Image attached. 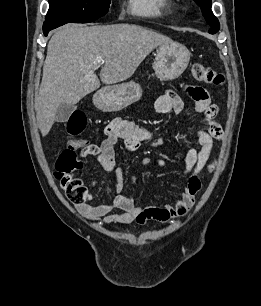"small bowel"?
<instances>
[{
    "label": "small bowel",
    "instance_id": "1",
    "mask_svg": "<svg viewBox=\"0 0 261 306\" xmlns=\"http://www.w3.org/2000/svg\"><path fill=\"white\" fill-rule=\"evenodd\" d=\"M187 92L194 100L195 111L203 115V123L196 128L199 148L190 147L185 156L184 173L188 177L187 185L181 197L173 205H149L138 206L134 200L121 194L124 183V173L115 163V145L122 140L129 152L138 150L144 143L153 141V134L144 128L136 126L133 122L116 119L110 122L106 129V138L99 147L97 160L102 168L107 171H115L116 193L111 203L92 204V194L85 188L84 200L77 204L78 211L85 217L102 221L106 224L121 223L129 224L136 222L145 224L150 220L159 222H168L172 219L181 218L188 214L195 203V196L200 190L199 180L200 172L207 167L213 168V163L208 164L214 140H220L223 137V131L220 124L215 120L218 108L211 103V99L201 87H188ZM155 109L162 114L174 113L180 114L184 109V103L181 97L169 91L161 95L155 102ZM154 145H162L163 140L158 139L153 142ZM84 156H89L85 150H82ZM150 162L149 158H144L140 166H145ZM160 166H165L164 160H158ZM136 182V176L132 177V183ZM115 210H119L115 212Z\"/></svg>",
    "mask_w": 261,
    "mask_h": 306
}]
</instances>
